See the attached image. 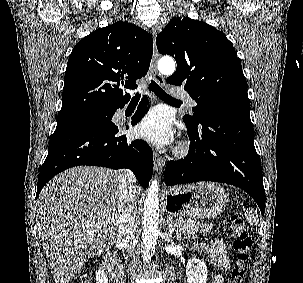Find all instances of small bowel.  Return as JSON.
<instances>
[{"mask_svg": "<svg viewBox=\"0 0 303 283\" xmlns=\"http://www.w3.org/2000/svg\"><path fill=\"white\" fill-rule=\"evenodd\" d=\"M197 249L203 250L208 259L212 263L218 264L221 269L226 270L229 267L228 253L222 241L214 240L208 246H197ZM211 283H224V279L220 275H215Z\"/></svg>", "mask_w": 303, "mask_h": 283, "instance_id": "1", "label": "small bowel"}]
</instances>
